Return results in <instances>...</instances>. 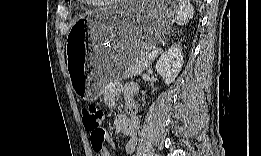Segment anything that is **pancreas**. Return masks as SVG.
I'll use <instances>...</instances> for the list:
<instances>
[{"mask_svg":"<svg viewBox=\"0 0 261 156\" xmlns=\"http://www.w3.org/2000/svg\"><path fill=\"white\" fill-rule=\"evenodd\" d=\"M149 51L142 55L139 59H137L132 66L128 67L124 73V77L135 76L142 73L150 63L152 59L147 58Z\"/></svg>","mask_w":261,"mask_h":156,"instance_id":"obj_1","label":"pancreas"}]
</instances>
